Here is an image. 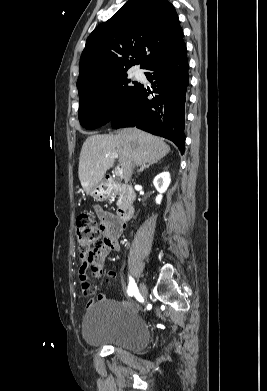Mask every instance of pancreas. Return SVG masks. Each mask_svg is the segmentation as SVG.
Segmentation results:
<instances>
[{"label":"pancreas","mask_w":267,"mask_h":391,"mask_svg":"<svg viewBox=\"0 0 267 391\" xmlns=\"http://www.w3.org/2000/svg\"><path fill=\"white\" fill-rule=\"evenodd\" d=\"M122 199H123V196H122V194H121V193H119V199H118V201H117V205H118V206H120V205H121V203H122Z\"/></svg>","instance_id":"1"}]
</instances>
